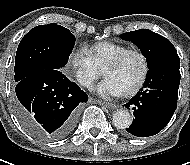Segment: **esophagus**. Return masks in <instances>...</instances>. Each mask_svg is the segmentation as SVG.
Masks as SVG:
<instances>
[{"label": "esophagus", "instance_id": "34e87169", "mask_svg": "<svg viewBox=\"0 0 190 165\" xmlns=\"http://www.w3.org/2000/svg\"><path fill=\"white\" fill-rule=\"evenodd\" d=\"M98 103H99V104H102V105H104V106H106V107H108V108H116V107H117L116 104L109 103V102L99 101Z\"/></svg>", "mask_w": 190, "mask_h": 165}]
</instances>
